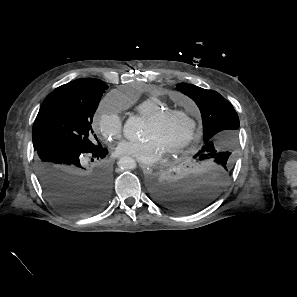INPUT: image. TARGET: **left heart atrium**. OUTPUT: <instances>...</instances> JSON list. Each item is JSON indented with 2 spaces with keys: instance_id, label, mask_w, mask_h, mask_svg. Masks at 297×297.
<instances>
[{
  "instance_id": "39dd6f15",
  "label": "left heart atrium",
  "mask_w": 297,
  "mask_h": 297,
  "mask_svg": "<svg viewBox=\"0 0 297 297\" xmlns=\"http://www.w3.org/2000/svg\"><path fill=\"white\" fill-rule=\"evenodd\" d=\"M116 153L128 155L143 164H153L162 157L164 151L155 139L147 137L138 141L120 142L116 147Z\"/></svg>"
}]
</instances>
